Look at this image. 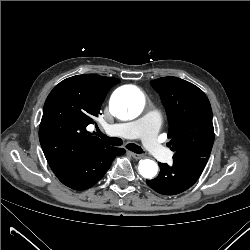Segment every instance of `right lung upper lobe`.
Wrapping results in <instances>:
<instances>
[{
	"instance_id": "obj_1",
	"label": "right lung upper lobe",
	"mask_w": 250,
	"mask_h": 250,
	"mask_svg": "<svg viewBox=\"0 0 250 250\" xmlns=\"http://www.w3.org/2000/svg\"><path fill=\"white\" fill-rule=\"evenodd\" d=\"M119 82L94 74L76 75L60 82L47 97L39 127L44 155L54 167L80 160L108 146L86 130L95 123L106 94Z\"/></svg>"
}]
</instances>
